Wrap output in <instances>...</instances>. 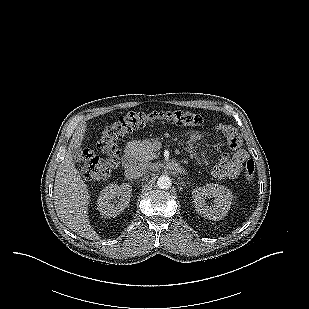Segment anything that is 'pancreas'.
I'll return each instance as SVG.
<instances>
[{
	"label": "pancreas",
	"instance_id": "obj_1",
	"mask_svg": "<svg viewBox=\"0 0 309 309\" xmlns=\"http://www.w3.org/2000/svg\"><path fill=\"white\" fill-rule=\"evenodd\" d=\"M135 160L141 163H146L156 158L153 146L148 141H138L134 143Z\"/></svg>",
	"mask_w": 309,
	"mask_h": 309
}]
</instances>
